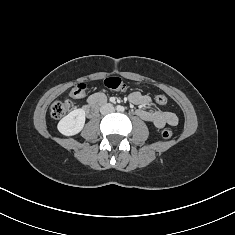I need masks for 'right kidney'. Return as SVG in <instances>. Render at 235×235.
<instances>
[{
    "label": "right kidney",
    "instance_id": "obj_1",
    "mask_svg": "<svg viewBox=\"0 0 235 235\" xmlns=\"http://www.w3.org/2000/svg\"><path fill=\"white\" fill-rule=\"evenodd\" d=\"M85 124V111L83 109H75L68 115L63 117L58 125V131L65 136H73L78 134Z\"/></svg>",
    "mask_w": 235,
    "mask_h": 235
}]
</instances>
